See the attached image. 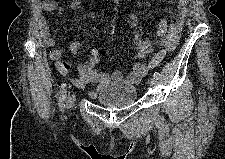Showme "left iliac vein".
<instances>
[{
	"instance_id": "obj_1",
	"label": "left iliac vein",
	"mask_w": 225,
	"mask_h": 159,
	"mask_svg": "<svg viewBox=\"0 0 225 159\" xmlns=\"http://www.w3.org/2000/svg\"><path fill=\"white\" fill-rule=\"evenodd\" d=\"M149 85H150V87H154L156 85V79L151 78L150 81H149Z\"/></svg>"
}]
</instances>
